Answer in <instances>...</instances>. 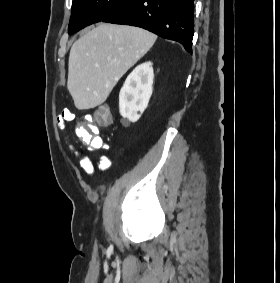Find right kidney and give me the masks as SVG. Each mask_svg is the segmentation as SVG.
<instances>
[{"label":"right kidney","instance_id":"ca27d5eb","mask_svg":"<svg viewBox=\"0 0 280 283\" xmlns=\"http://www.w3.org/2000/svg\"><path fill=\"white\" fill-rule=\"evenodd\" d=\"M154 73L151 62L138 65L127 77L119 94L121 123L129 126L139 120L152 95Z\"/></svg>","mask_w":280,"mask_h":283}]
</instances>
